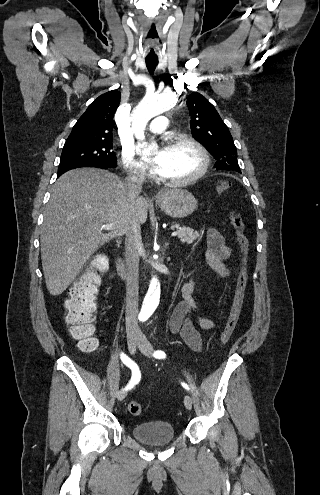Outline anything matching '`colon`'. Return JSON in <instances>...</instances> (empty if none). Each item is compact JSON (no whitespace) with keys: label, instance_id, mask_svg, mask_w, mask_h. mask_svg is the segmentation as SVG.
<instances>
[{"label":"colon","instance_id":"5ec220e1","mask_svg":"<svg viewBox=\"0 0 320 495\" xmlns=\"http://www.w3.org/2000/svg\"><path fill=\"white\" fill-rule=\"evenodd\" d=\"M230 187V182L222 181L217 186V192L219 195H225ZM229 218L236 231V242L241 255V267L238 273L233 306L227 323L220 334V344L222 346L226 345L231 339L239 319L248 279L246 260L250 248L243 216L238 212L231 211ZM107 269L108 261L105 256L99 255L94 258L90 267L70 288L69 297L65 302L66 322L70 333L79 341L81 348L85 351H93L97 346V341L93 337L97 308L96 295ZM128 410L131 415L138 416L142 412V407L140 403L133 401L129 403Z\"/></svg>","mask_w":320,"mask_h":495}]
</instances>
